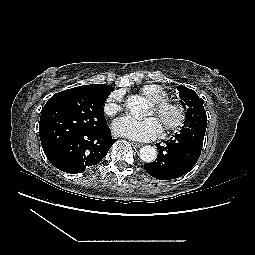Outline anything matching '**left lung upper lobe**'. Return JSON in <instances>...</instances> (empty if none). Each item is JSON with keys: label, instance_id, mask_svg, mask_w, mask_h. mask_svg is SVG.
<instances>
[{"label": "left lung upper lobe", "instance_id": "left-lung-upper-lobe-1", "mask_svg": "<svg viewBox=\"0 0 255 255\" xmlns=\"http://www.w3.org/2000/svg\"><path fill=\"white\" fill-rule=\"evenodd\" d=\"M179 96L183 106L188 108L186 114L185 125L178 135H184L189 129L198 125L207 124L206 111L203 107L204 101L199 98L197 94L192 90L183 85L178 86Z\"/></svg>", "mask_w": 255, "mask_h": 255}]
</instances>
